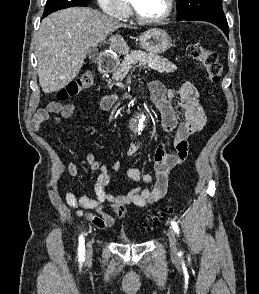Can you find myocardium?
Wrapping results in <instances>:
<instances>
[{
    "mask_svg": "<svg viewBox=\"0 0 259 294\" xmlns=\"http://www.w3.org/2000/svg\"><path fill=\"white\" fill-rule=\"evenodd\" d=\"M129 3H130L131 12H132L134 18L139 23H142V24L162 23V22L166 21L172 15L173 10H174V0H166L165 12L159 17L148 18V17H145L142 14H140L139 11L136 9V7L131 3V1H129Z\"/></svg>",
    "mask_w": 259,
    "mask_h": 294,
    "instance_id": "f54148a6",
    "label": "myocardium"
}]
</instances>
